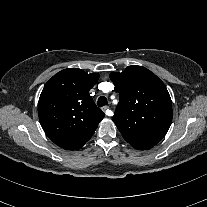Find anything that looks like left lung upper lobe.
Wrapping results in <instances>:
<instances>
[{
  "label": "left lung upper lobe",
  "instance_id": "obj_1",
  "mask_svg": "<svg viewBox=\"0 0 207 207\" xmlns=\"http://www.w3.org/2000/svg\"><path fill=\"white\" fill-rule=\"evenodd\" d=\"M110 79L119 92L112 118L124 139L136 149L155 146L172 121V102L164 83L150 70L128 66Z\"/></svg>",
  "mask_w": 207,
  "mask_h": 207
}]
</instances>
